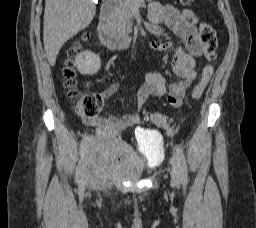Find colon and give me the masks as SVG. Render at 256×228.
Returning <instances> with one entry per match:
<instances>
[{
	"instance_id": "colon-1",
	"label": "colon",
	"mask_w": 256,
	"mask_h": 228,
	"mask_svg": "<svg viewBox=\"0 0 256 228\" xmlns=\"http://www.w3.org/2000/svg\"><path fill=\"white\" fill-rule=\"evenodd\" d=\"M181 4L184 6H190L194 0H180ZM89 37L88 34H84L83 38L87 39ZM200 37L201 41L204 44V54L209 63L204 67L201 77L198 83L195 85L192 91V98L194 100L199 99L207 85L209 84L213 71H214V61L216 59V50H217V37L215 30L206 23H202L200 25ZM79 45L74 44L69 49V55L72 57L76 51L78 50ZM75 69L72 60H67L65 66L63 68V76L65 78V86L68 90V95L70 98H77L78 92L75 88ZM103 106V97L99 93H87L80 96L76 101V110L82 117L92 119L96 118ZM146 122L154 124L162 129H164L167 133L172 134L175 132V125L173 122L168 120L161 113H148L146 115Z\"/></svg>"
}]
</instances>
